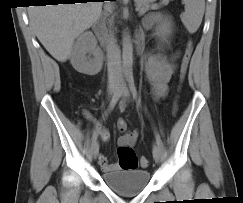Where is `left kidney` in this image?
Segmentation results:
<instances>
[{"label": "left kidney", "instance_id": "obj_1", "mask_svg": "<svg viewBox=\"0 0 243 203\" xmlns=\"http://www.w3.org/2000/svg\"><path fill=\"white\" fill-rule=\"evenodd\" d=\"M156 34L162 38L171 34V23L164 21L156 29Z\"/></svg>", "mask_w": 243, "mask_h": 203}]
</instances>
